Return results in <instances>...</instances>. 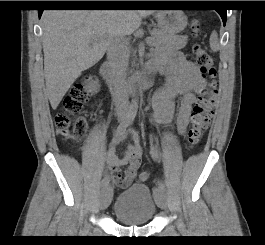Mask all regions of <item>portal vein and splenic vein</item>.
<instances>
[{"instance_id": "1", "label": "portal vein and splenic vein", "mask_w": 265, "mask_h": 245, "mask_svg": "<svg viewBox=\"0 0 265 245\" xmlns=\"http://www.w3.org/2000/svg\"><path fill=\"white\" fill-rule=\"evenodd\" d=\"M146 42H147V43H149V44H151V43H152V41H151V39H150V38H148V39L146 40Z\"/></svg>"}]
</instances>
